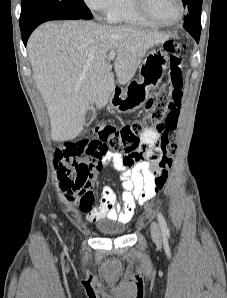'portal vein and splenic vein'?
<instances>
[{
    "label": "portal vein and splenic vein",
    "mask_w": 227,
    "mask_h": 298,
    "mask_svg": "<svg viewBox=\"0 0 227 298\" xmlns=\"http://www.w3.org/2000/svg\"><path fill=\"white\" fill-rule=\"evenodd\" d=\"M116 53L114 51L109 52L108 60L113 61L115 59Z\"/></svg>",
    "instance_id": "18ae733b"
}]
</instances>
